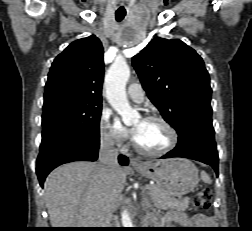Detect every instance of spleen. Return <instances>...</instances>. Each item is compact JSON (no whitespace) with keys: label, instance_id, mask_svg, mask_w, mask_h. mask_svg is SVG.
<instances>
[{"label":"spleen","instance_id":"3e777b00","mask_svg":"<svg viewBox=\"0 0 252 231\" xmlns=\"http://www.w3.org/2000/svg\"><path fill=\"white\" fill-rule=\"evenodd\" d=\"M201 179L208 184H211V178L208 176V174H206L205 172H203L201 174Z\"/></svg>","mask_w":252,"mask_h":231}]
</instances>
